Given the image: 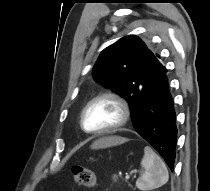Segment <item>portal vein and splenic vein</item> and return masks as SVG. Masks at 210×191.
<instances>
[{
	"label": "portal vein and splenic vein",
	"instance_id": "obj_1",
	"mask_svg": "<svg viewBox=\"0 0 210 191\" xmlns=\"http://www.w3.org/2000/svg\"><path fill=\"white\" fill-rule=\"evenodd\" d=\"M129 179H130V176L129 175H126L125 176V180L128 181Z\"/></svg>",
	"mask_w": 210,
	"mask_h": 191
}]
</instances>
